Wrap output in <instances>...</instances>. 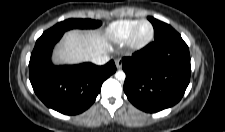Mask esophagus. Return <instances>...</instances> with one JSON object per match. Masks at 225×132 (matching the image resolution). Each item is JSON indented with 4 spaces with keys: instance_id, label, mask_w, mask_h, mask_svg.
<instances>
[{
    "instance_id": "1",
    "label": "esophagus",
    "mask_w": 225,
    "mask_h": 132,
    "mask_svg": "<svg viewBox=\"0 0 225 132\" xmlns=\"http://www.w3.org/2000/svg\"><path fill=\"white\" fill-rule=\"evenodd\" d=\"M115 65L117 69H120L122 67V60L121 59H116L115 60Z\"/></svg>"
}]
</instances>
